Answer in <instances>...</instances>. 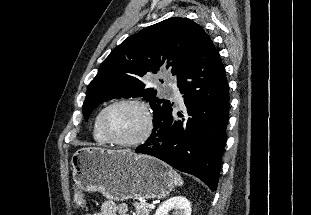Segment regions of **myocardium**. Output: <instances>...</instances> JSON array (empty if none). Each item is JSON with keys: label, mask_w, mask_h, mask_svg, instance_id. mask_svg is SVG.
<instances>
[{"label": "myocardium", "mask_w": 311, "mask_h": 215, "mask_svg": "<svg viewBox=\"0 0 311 215\" xmlns=\"http://www.w3.org/2000/svg\"><path fill=\"white\" fill-rule=\"evenodd\" d=\"M123 104H131L138 106L145 114L146 117V125L145 129L142 132V134L133 139V140H120L115 137H113L106 129L105 126V118L109 110H111L113 107ZM99 129L101 134L104 136V138L112 144L122 146V147H136L148 140V138L151 136L153 131V114L149 107V105L138 98H122L118 99L110 104H108L105 108L102 109L100 117H99Z\"/></svg>", "instance_id": "f54148a6"}]
</instances>
